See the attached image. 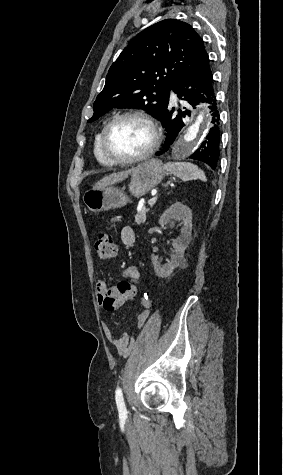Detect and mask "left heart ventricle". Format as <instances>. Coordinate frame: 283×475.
<instances>
[{"mask_svg":"<svg viewBox=\"0 0 283 475\" xmlns=\"http://www.w3.org/2000/svg\"><path fill=\"white\" fill-rule=\"evenodd\" d=\"M152 140V130L142 119L129 117L116 122L111 128L106 149L110 156L131 158L144 153Z\"/></svg>","mask_w":283,"mask_h":475,"instance_id":"obj_1","label":"left heart ventricle"}]
</instances>
